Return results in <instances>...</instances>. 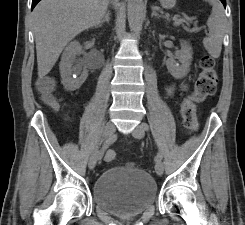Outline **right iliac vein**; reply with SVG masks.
Returning a JSON list of instances; mask_svg holds the SVG:
<instances>
[{"instance_id":"obj_1","label":"right iliac vein","mask_w":245,"mask_h":225,"mask_svg":"<svg viewBox=\"0 0 245 225\" xmlns=\"http://www.w3.org/2000/svg\"><path fill=\"white\" fill-rule=\"evenodd\" d=\"M115 133V126L112 122H108L105 124L103 133H102V139H109L111 138ZM100 156V151L98 149H95L92 153L90 159H89V168L92 170L96 166V163L98 161V158Z\"/></svg>"}]
</instances>
